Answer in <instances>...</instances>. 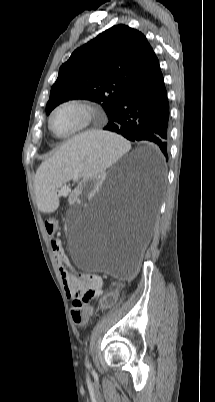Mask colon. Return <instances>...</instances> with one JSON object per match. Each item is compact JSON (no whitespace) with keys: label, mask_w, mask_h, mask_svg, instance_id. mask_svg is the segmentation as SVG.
<instances>
[{"label":"colon","mask_w":215,"mask_h":402,"mask_svg":"<svg viewBox=\"0 0 215 402\" xmlns=\"http://www.w3.org/2000/svg\"><path fill=\"white\" fill-rule=\"evenodd\" d=\"M45 228L47 233L51 237H55L58 231L57 221L54 218L47 219L45 221ZM84 275L92 277L91 274H84ZM93 296L94 294L92 292H89L85 296L81 298H76L73 301L71 314L75 324L81 326L84 325L88 320L91 314V310L87 307V303L93 298ZM123 297H124L123 289H113L111 290L110 293H107L100 298L99 301L100 307L102 309H107L115 303L116 298H123Z\"/></svg>","instance_id":"colon-1"}]
</instances>
